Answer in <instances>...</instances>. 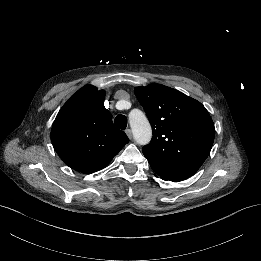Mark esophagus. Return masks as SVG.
I'll use <instances>...</instances> for the list:
<instances>
[{
  "label": "esophagus",
  "instance_id": "obj_1",
  "mask_svg": "<svg viewBox=\"0 0 261 261\" xmlns=\"http://www.w3.org/2000/svg\"><path fill=\"white\" fill-rule=\"evenodd\" d=\"M125 133L128 136V138L131 140L132 139V131L130 129H126Z\"/></svg>",
  "mask_w": 261,
  "mask_h": 261
}]
</instances>
